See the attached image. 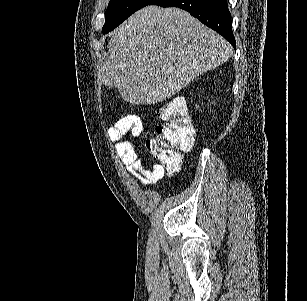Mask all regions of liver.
Returning <instances> with one entry per match:
<instances>
[{
  "label": "liver",
  "instance_id": "liver-1",
  "mask_svg": "<svg viewBox=\"0 0 307 301\" xmlns=\"http://www.w3.org/2000/svg\"><path fill=\"white\" fill-rule=\"evenodd\" d=\"M109 36L101 82L132 104L170 98L233 52L223 36L176 6H144Z\"/></svg>",
  "mask_w": 307,
  "mask_h": 301
}]
</instances>
